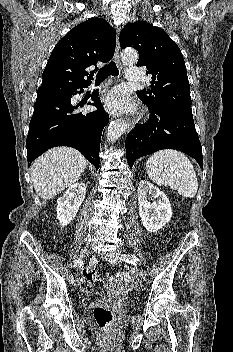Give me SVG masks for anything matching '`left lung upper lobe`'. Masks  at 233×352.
Returning <instances> with one entry per match:
<instances>
[{"mask_svg": "<svg viewBox=\"0 0 233 352\" xmlns=\"http://www.w3.org/2000/svg\"><path fill=\"white\" fill-rule=\"evenodd\" d=\"M120 46L137 49V66L152 75L150 88L137 91L148 108L159 106L193 117L184 58L165 31L145 21L129 23L120 33Z\"/></svg>", "mask_w": 233, "mask_h": 352, "instance_id": "obj_1", "label": "left lung upper lobe"}]
</instances>
